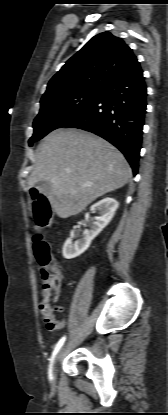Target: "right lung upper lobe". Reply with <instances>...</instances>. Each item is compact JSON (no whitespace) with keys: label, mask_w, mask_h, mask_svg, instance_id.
Returning a JSON list of instances; mask_svg holds the SVG:
<instances>
[{"label":"right lung upper lobe","mask_w":168,"mask_h":415,"mask_svg":"<svg viewBox=\"0 0 168 415\" xmlns=\"http://www.w3.org/2000/svg\"><path fill=\"white\" fill-rule=\"evenodd\" d=\"M139 62L133 51L110 32L91 38L49 81L41 103L67 93L107 87Z\"/></svg>","instance_id":"cb5924a9"}]
</instances>
